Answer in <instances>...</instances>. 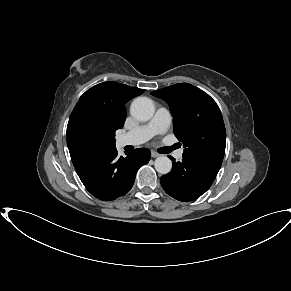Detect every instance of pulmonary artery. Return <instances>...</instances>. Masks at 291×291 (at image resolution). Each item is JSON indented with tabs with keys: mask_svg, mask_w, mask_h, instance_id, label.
<instances>
[{
	"mask_svg": "<svg viewBox=\"0 0 291 291\" xmlns=\"http://www.w3.org/2000/svg\"><path fill=\"white\" fill-rule=\"evenodd\" d=\"M171 120L172 117L169 110L164 107H160L156 110L150 122L120 135L117 138V144L118 146L123 147L126 145H139L144 143L157 134L165 133L171 124ZM182 155L183 150H178L175 153V158L180 160Z\"/></svg>",
	"mask_w": 291,
	"mask_h": 291,
	"instance_id": "e3ab8cb5",
	"label": "pulmonary artery"
}]
</instances>
